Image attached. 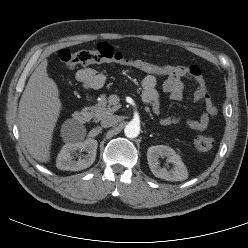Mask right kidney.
Returning <instances> with one entry per match:
<instances>
[{
    "mask_svg": "<svg viewBox=\"0 0 248 248\" xmlns=\"http://www.w3.org/2000/svg\"><path fill=\"white\" fill-rule=\"evenodd\" d=\"M97 146L98 142L94 139H86L83 142H67L57 156V168L66 171H80L90 167L95 161ZM76 151L87 154L75 160Z\"/></svg>",
    "mask_w": 248,
    "mask_h": 248,
    "instance_id": "right-kidney-1",
    "label": "right kidney"
}]
</instances>
